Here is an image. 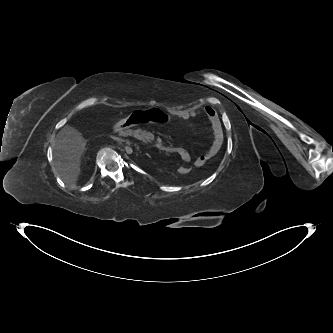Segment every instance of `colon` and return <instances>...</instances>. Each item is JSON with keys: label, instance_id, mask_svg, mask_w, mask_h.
Returning <instances> with one entry per match:
<instances>
[{"label": "colon", "instance_id": "1", "mask_svg": "<svg viewBox=\"0 0 333 333\" xmlns=\"http://www.w3.org/2000/svg\"><path fill=\"white\" fill-rule=\"evenodd\" d=\"M175 115L173 113L167 112V111H153L149 110L146 111L145 113L142 112H135L133 115H127L125 117V120L118 122L114 125H112V130L117 131L122 126H134L136 123H144V122H161L165 124H173L175 122ZM177 171L182 172V173H192L193 172V167L192 166H184V165H178L177 166Z\"/></svg>", "mask_w": 333, "mask_h": 333}]
</instances>
